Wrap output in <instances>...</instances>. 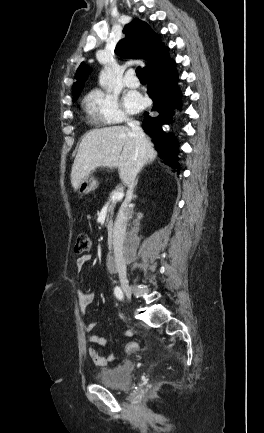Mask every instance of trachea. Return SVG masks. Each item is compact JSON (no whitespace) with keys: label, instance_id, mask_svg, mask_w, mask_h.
<instances>
[{"label":"trachea","instance_id":"3493384b","mask_svg":"<svg viewBox=\"0 0 264 433\" xmlns=\"http://www.w3.org/2000/svg\"><path fill=\"white\" fill-rule=\"evenodd\" d=\"M136 75H137L138 78H144V75H143L142 70H141L140 67L136 68Z\"/></svg>","mask_w":264,"mask_h":433}]
</instances>
